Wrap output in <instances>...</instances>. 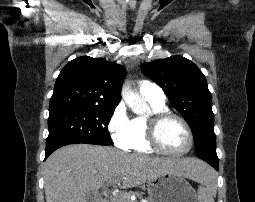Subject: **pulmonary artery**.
I'll return each mask as SVG.
<instances>
[{
  "label": "pulmonary artery",
  "instance_id": "e3ab8cb5",
  "mask_svg": "<svg viewBox=\"0 0 255 202\" xmlns=\"http://www.w3.org/2000/svg\"><path fill=\"white\" fill-rule=\"evenodd\" d=\"M139 92L146 99L155 103H165V94L163 90L155 83L150 81H141Z\"/></svg>",
  "mask_w": 255,
  "mask_h": 202
}]
</instances>
